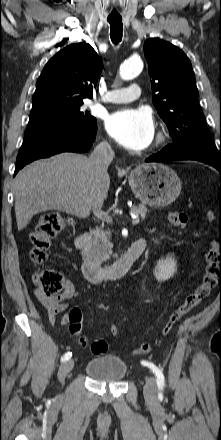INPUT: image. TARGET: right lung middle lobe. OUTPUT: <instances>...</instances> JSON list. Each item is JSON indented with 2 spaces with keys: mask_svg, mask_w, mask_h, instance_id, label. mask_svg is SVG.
Segmentation results:
<instances>
[{
  "mask_svg": "<svg viewBox=\"0 0 221 440\" xmlns=\"http://www.w3.org/2000/svg\"><path fill=\"white\" fill-rule=\"evenodd\" d=\"M83 103L64 104L53 103L44 107L32 109L28 127L42 124H54L68 128L91 129L97 125L96 118L88 112L80 111Z\"/></svg>",
  "mask_w": 221,
  "mask_h": 440,
  "instance_id": "obj_1",
  "label": "right lung middle lobe"
}]
</instances>
